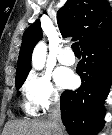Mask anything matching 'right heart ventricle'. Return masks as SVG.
I'll use <instances>...</instances> for the list:
<instances>
[{"label":"right heart ventricle","mask_w":112,"mask_h":135,"mask_svg":"<svg viewBox=\"0 0 112 135\" xmlns=\"http://www.w3.org/2000/svg\"><path fill=\"white\" fill-rule=\"evenodd\" d=\"M25 108H26V110L28 111V112H31L26 106H25ZM32 113V112H31Z\"/></svg>","instance_id":"obj_1"}]
</instances>
